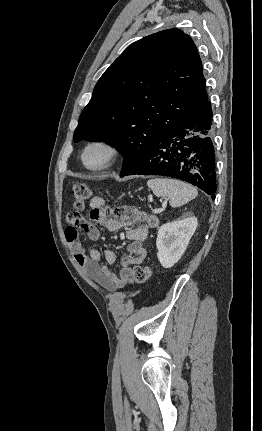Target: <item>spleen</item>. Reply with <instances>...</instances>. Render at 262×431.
Masks as SVG:
<instances>
[{
  "instance_id": "1",
  "label": "spleen",
  "mask_w": 262,
  "mask_h": 431,
  "mask_svg": "<svg viewBox=\"0 0 262 431\" xmlns=\"http://www.w3.org/2000/svg\"><path fill=\"white\" fill-rule=\"evenodd\" d=\"M147 186L157 197H166L171 207H179L193 200L198 195L192 185L170 178H152Z\"/></svg>"
}]
</instances>
